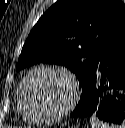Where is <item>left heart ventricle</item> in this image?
Masks as SVG:
<instances>
[{"mask_svg":"<svg viewBox=\"0 0 125 128\" xmlns=\"http://www.w3.org/2000/svg\"><path fill=\"white\" fill-rule=\"evenodd\" d=\"M72 89L68 80L54 72L41 71L27 83L25 98L28 108L35 114H52L69 101Z\"/></svg>","mask_w":125,"mask_h":128,"instance_id":"1","label":"left heart ventricle"}]
</instances>
